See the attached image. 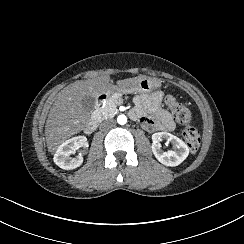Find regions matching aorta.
<instances>
[{
  "label": "aorta",
  "mask_w": 244,
  "mask_h": 244,
  "mask_svg": "<svg viewBox=\"0 0 244 244\" xmlns=\"http://www.w3.org/2000/svg\"><path fill=\"white\" fill-rule=\"evenodd\" d=\"M117 122L120 125H124V124L127 123V117L125 115H119L118 118H117Z\"/></svg>",
  "instance_id": "1"
}]
</instances>
